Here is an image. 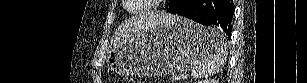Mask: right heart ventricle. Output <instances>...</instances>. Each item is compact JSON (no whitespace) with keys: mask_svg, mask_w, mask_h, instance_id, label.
<instances>
[{"mask_svg":"<svg viewBox=\"0 0 307 83\" xmlns=\"http://www.w3.org/2000/svg\"><path fill=\"white\" fill-rule=\"evenodd\" d=\"M145 7H149V5H145Z\"/></svg>","mask_w":307,"mask_h":83,"instance_id":"obj_1","label":"right heart ventricle"}]
</instances>
